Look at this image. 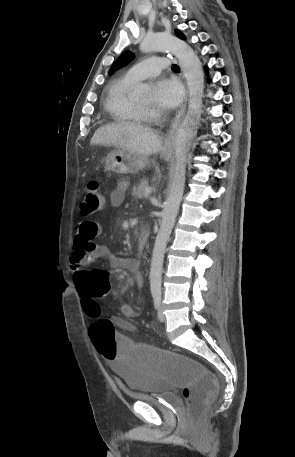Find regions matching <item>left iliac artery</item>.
Wrapping results in <instances>:
<instances>
[{
	"label": "left iliac artery",
	"instance_id": "44dca946",
	"mask_svg": "<svg viewBox=\"0 0 295 457\" xmlns=\"http://www.w3.org/2000/svg\"><path fill=\"white\" fill-rule=\"evenodd\" d=\"M153 299H154V306L155 308H159L160 304H161V294L159 293H154L153 295Z\"/></svg>",
	"mask_w": 295,
	"mask_h": 457
}]
</instances>
